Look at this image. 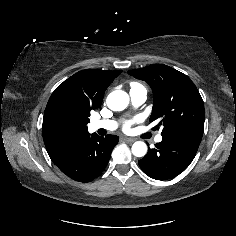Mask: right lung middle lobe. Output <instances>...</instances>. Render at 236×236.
<instances>
[{
	"label": "right lung middle lobe",
	"instance_id": "obj_1",
	"mask_svg": "<svg viewBox=\"0 0 236 236\" xmlns=\"http://www.w3.org/2000/svg\"><path fill=\"white\" fill-rule=\"evenodd\" d=\"M58 116L66 122H80L86 125L89 122L90 112L81 115L66 104L60 103L58 106Z\"/></svg>",
	"mask_w": 236,
	"mask_h": 236
}]
</instances>
